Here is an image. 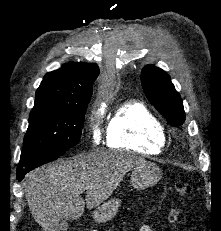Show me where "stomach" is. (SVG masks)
<instances>
[{"instance_id":"0dacf381","label":"stomach","mask_w":221,"mask_h":231,"mask_svg":"<svg viewBox=\"0 0 221 231\" xmlns=\"http://www.w3.org/2000/svg\"><path fill=\"white\" fill-rule=\"evenodd\" d=\"M161 176V170L156 164L144 161L132 169L131 184L136 189H145L157 184ZM120 203L118 198L103 203L93 211V219L98 223L109 221L117 213Z\"/></svg>"}]
</instances>
